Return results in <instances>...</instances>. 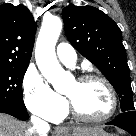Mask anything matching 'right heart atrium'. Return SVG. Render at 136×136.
I'll use <instances>...</instances> for the list:
<instances>
[{"label":"right heart atrium","mask_w":136,"mask_h":136,"mask_svg":"<svg viewBox=\"0 0 136 136\" xmlns=\"http://www.w3.org/2000/svg\"><path fill=\"white\" fill-rule=\"evenodd\" d=\"M23 99L33 114L54 121L65 111L64 99L54 92L43 77L34 69H28L23 78Z\"/></svg>","instance_id":"obj_1"}]
</instances>
